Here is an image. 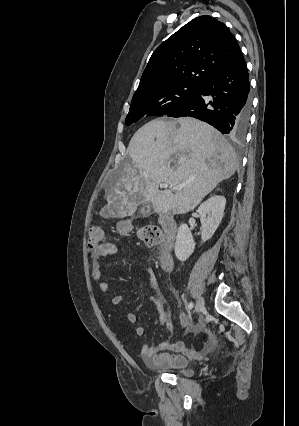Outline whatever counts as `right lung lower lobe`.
<instances>
[{
	"mask_svg": "<svg viewBox=\"0 0 299 426\" xmlns=\"http://www.w3.org/2000/svg\"><path fill=\"white\" fill-rule=\"evenodd\" d=\"M250 83L241 53L227 67L207 78L185 104L168 116H191L222 134L243 137L251 112Z\"/></svg>",
	"mask_w": 299,
	"mask_h": 426,
	"instance_id": "obj_1",
	"label": "right lung lower lobe"
}]
</instances>
